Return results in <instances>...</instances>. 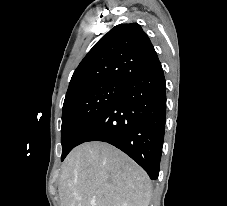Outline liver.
<instances>
[{"mask_svg":"<svg viewBox=\"0 0 227 206\" xmlns=\"http://www.w3.org/2000/svg\"><path fill=\"white\" fill-rule=\"evenodd\" d=\"M58 191L61 206H149L152 185L119 149L92 141L66 157Z\"/></svg>","mask_w":227,"mask_h":206,"instance_id":"liver-1","label":"liver"}]
</instances>
